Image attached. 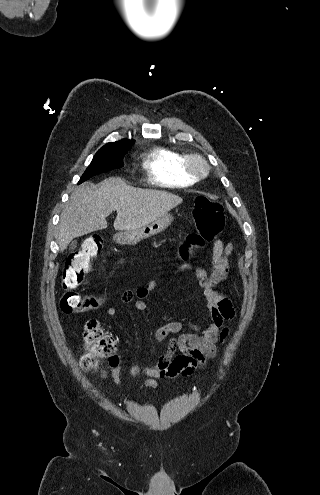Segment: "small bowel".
I'll return each mask as SVG.
<instances>
[{"mask_svg": "<svg viewBox=\"0 0 320 495\" xmlns=\"http://www.w3.org/2000/svg\"><path fill=\"white\" fill-rule=\"evenodd\" d=\"M232 248V244L225 245L222 240H215L209 269L191 267L186 264L179 266V270L191 271L200 281V286L203 288L207 300L209 322L205 328L190 323L188 324L189 332H183L185 325L178 321L168 322L158 328L153 338L156 343L168 340L166 353L159 358L155 367L143 366L137 362L130 368L132 376L146 375L148 377L142 382V386L154 389L157 387V378L188 376L216 356L217 343L223 342L229 334V328L225 322L234 318L235 311L231 302L214 287L213 282L226 276ZM156 288V282L151 281L146 286L137 288L135 292L124 291L121 299L124 303L134 301L137 310L145 311L147 309L145 299ZM135 295L136 300H134ZM118 312L116 307L107 309V314L111 317L116 316ZM176 352L181 354L175 356ZM111 365L113 381L116 385H121V368L118 357L117 361Z\"/></svg>", "mask_w": 320, "mask_h": 495, "instance_id": "obj_1", "label": "small bowel"}]
</instances>
